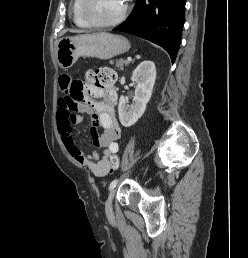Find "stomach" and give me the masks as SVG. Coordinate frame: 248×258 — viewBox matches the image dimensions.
<instances>
[{
    "label": "stomach",
    "instance_id": "1",
    "mask_svg": "<svg viewBox=\"0 0 248 258\" xmlns=\"http://www.w3.org/2000/svg\"><path fill=\"white\" fill-rule=\"evenodd\" d=\"M130 49L129 41L106 32L64 37L56 43V59L63 69L72 67L79 57L110 59Z\"/></svg>",
    "mask_w": 248,
    "mask_h": 258
}]
</instances>
